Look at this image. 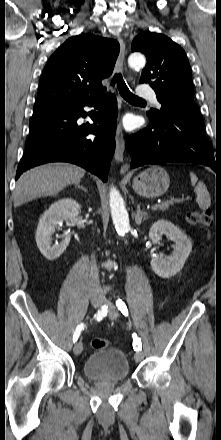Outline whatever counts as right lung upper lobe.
<instances>
[{
  "instance_id": "1",
  "label": "right lung upper lobe",
  "mask_w": 221,
  "mask_h": 440,
  "mask_svg": "<svg viewBox=\"0 0 221 440\" xmlns=\"http://www.w3.org/2000/svg\"><path fill=\"white\" fill-rule=\"evenodd\" d=\"M119 49L116 40L96 35L69 38L44 67L34 109L102 96L101 82L111 75Z\"/></svg>"
}]
</instances>
